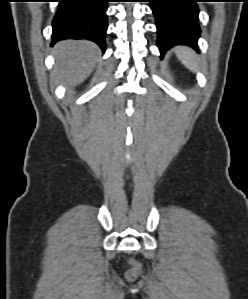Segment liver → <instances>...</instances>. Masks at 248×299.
Listing matches in <instances>:
<instances>
[{"instance_id": "obj_1", "label": "liver", "mask_w": 248, "mask_h": 299, "mask_svg": "<svg viewBox=\"0 0 248 299\" xmlns=\"http://www.w3.org/2000/svg\"><path fill=\"white\" fill-rule=\"evenodd\" d=\"M54 76L67 85L83 82L93 71L100 57L99 47L86 40L60 41L54 48Z\"/></svg>"}]
</instances>
